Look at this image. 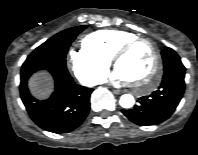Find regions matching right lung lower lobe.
<instances>
[{
  "mask_svg": "<svg viewBox=\"0 0 198 155\" xmlns=\"http://www.w3.org/2000/svg\"><path fill=\"white\" fill-rule=\"evenodd\" d=\"M46 69L54 78L55 91L48 100L31 96L27 80L36 71ZM93 89L77 85L66 64L50 60L24 63L21 69L20 95L31 119L41 128L53 133H68L80 126L90 109Z\"/></svg>",
  "mask_w": 198,
  "mask_h": 155,
  "instance_id": "right-lung-lower-lobe-1",
  "label": "right lung lower lobe"
}]
</instances>
